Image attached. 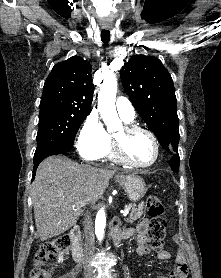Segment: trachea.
I'll use <instances>...</instances> for the list:
<instances>
[{"instance_id": "trachea-1", "label": "trachea", "mask_w": 221, "mask_h": 278, "mask_svg": "<svg viewBox=\"0 0 221 278\" xmlns=\"http://www.w3.org/2000/svg\"><path fill=\"white\" fill-rule=\"evenodd\" d=\"M101 40L104 44H108L110 41V31L102 30L101 31Z\"/></svg>"}]
</instances>
